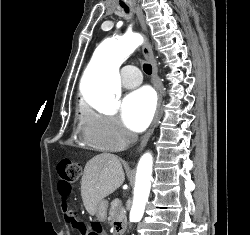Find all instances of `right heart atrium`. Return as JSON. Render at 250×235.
<instances>
[{
	"label": "right heart atrium",
	"instance_id": "obj_1",
	"mask_svg": "<svg viewBox=\"0 0 250 235\" xmlns=\"http://www.w3.org/2000/svg\"><path fill=\"white\" fill-rule=\"evenodd\" d=\"M84 140L101 150L119 151L133 141V134L111 113L87 110L82 123Z\"/></svg>",
	"mask_w": 250,
	"mask_h": 235
}]
</instances>
